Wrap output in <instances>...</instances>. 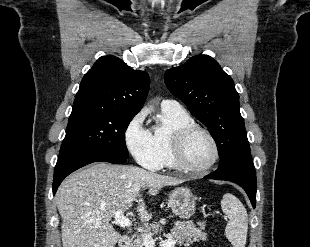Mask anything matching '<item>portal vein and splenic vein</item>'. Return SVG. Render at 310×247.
I'll return each mask as SVG.
<instances>
[{"mask_svg":"<svg viewBox=\"0 0 310 247\" xmlns=\"http://www.w3.org/2000/svg\"><path fill=\"white\" fill-rule=\"evenodd\" d=\"M131 205H129L126 209H129ZM125 209H119L113 213L114 217V224L125 228V227H130L132 226V222L130 221L129 218H127L124 215ZM143 244L145 247H154L155 246V240L152 238L150 234H145L143 235ZM176 244V241L170 237H168L167 240H162L159 245L161 247H174Z\"/></svg>","mask_w":310,"mask_h":247,"instance_id":"portal-vein-and-splenic-vein-1","label":"portal vein and splenic vein"}]
</instances>
